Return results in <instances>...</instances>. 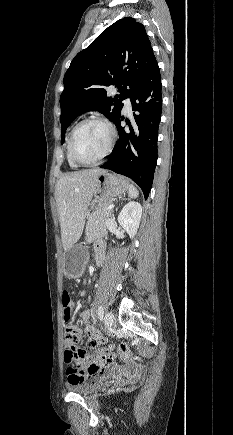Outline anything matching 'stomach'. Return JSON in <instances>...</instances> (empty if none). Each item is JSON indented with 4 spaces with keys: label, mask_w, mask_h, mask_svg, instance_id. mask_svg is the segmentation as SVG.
Here are the masks:
<instances>
[{
    "label": "stomach",
    "mask_w": 233,
    "mask_h": 435,
    "mask_svg": "<svg viewBox=\"0 0 233 435\" xmlns=\"http://www.w3.org/2000/svg\"><path fill=\"white\" fill-rule=\"evenodd\" d=\"M129 188V182L120 176L107 171L101 173L96 180L94 200L91 210H96L101 205L109 202L111 198L120 196ZM87 249L81 245H73L63 252L64 274L71 279L82 276L87 260Z\"/></svg>",
    "instance_id": "1"
}]
</instances>
